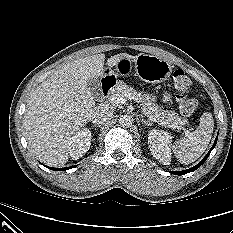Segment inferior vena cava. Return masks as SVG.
<instances>
[{
    "instance_id": "obj_1",
    "label": "inferior vena cava",
    "mask_w": 233,
    "mask_h": 233,
    "mask_svg": "<svg viewBox=\"0 0 233 233\" xmlns=\"http://www.w3.org/2000/svg\"><path fill=\"white\" fill-rule=\"evenodd\" d=\"M112 116L113 110L107 104H100L96 107L91 119L94 124L99 125L111 119Z\"/></svg>"
}]
</instances>
